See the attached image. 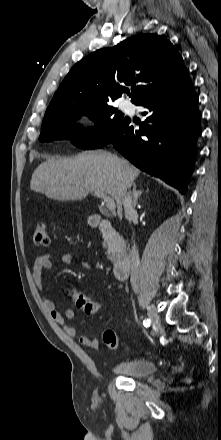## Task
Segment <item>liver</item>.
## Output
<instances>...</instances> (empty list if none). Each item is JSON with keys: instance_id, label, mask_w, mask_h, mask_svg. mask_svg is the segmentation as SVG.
Returning a JSON list of instances; mask_svg holds the SVG:
<instances>
[{"instance_id": "liver-1", "label": "liver", "mask_w": 221, "mask_h": 440, "mask_svg": "<svg viewBox=\"0 0 221 440\" xmlns=\"http://www.w3.org/2000/svg\"><path fill=\"white\" fill-rule=\"evenodd\" d=\"M139 174V169L110 152L85 151L40 164L32 174L30 188L59 201L83 200L89 193L104 192L115 199L117 214L122 217L124 193Z\"/></svg>"}]
</instances>
